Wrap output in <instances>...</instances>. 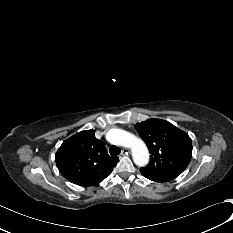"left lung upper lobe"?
Listing matches in <instances>:
<instances>
[{"label":"left lung upper lobe","mask_w":233,"mask_h":233,"mask_svg":"<svg viewBox=\"0 0 233 233\" xmlns=\"http://www.w3.org/2000/svg\"><path fill=\"white\" fill-rule=\"evenodd\" d=\"M135 128L151 153L149 164L140 169L141 174L166 182L186 169L192 157V143L186 132L161 119L137 123Z\"/></svg>","instance_id":"5c2ea615"}]
</instances>
